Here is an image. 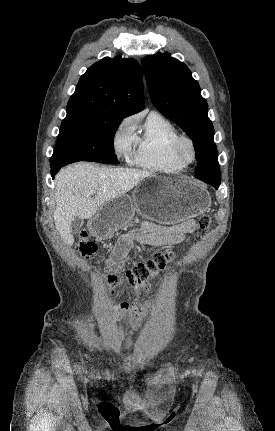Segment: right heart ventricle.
Returning a JSON list of instances; mask_svg holds the SVG:
<instances>
[{"label":"right heart ventricle","mask_w":275,"mask_h":431,"mask_svg":"<svg viewBox=\"0 0 275 431\" xmlns=\"http://www.w3.org/2000/svg\"><path fill=\"white\" fill-rule=\"evenodd\" d=\"M179 135L177 127L169 119L158 112H151L136 136L137 150L133 163L155 172L181 171L184 166L172 154V145Z\"/></svg>","instance_id":"obj_1"}]
</instances>
